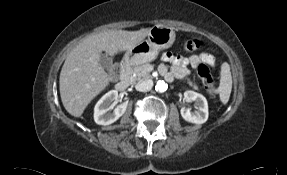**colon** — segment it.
Masks as SVG:
<instances>
[{"label": "colon", "instance_id": "5ec220e1", "mask_svg": "<svg viewBox=\"0 0 287 175\" xmlns=\"http://www.w3.org/2000/svg\"><path fill=\"white\" fill-rule=\"evenodd\" d=\"M202 43L198 39H189L186 40L183 44V49L187 52H194L201 48ZM197 73L202 80V83L206 91L210 94L215 93L214 79L211 75L210 67L207 63H200L197 66Z\"/></svg>", "mask_w": 287, "mask_h": 175}]
</instances>
